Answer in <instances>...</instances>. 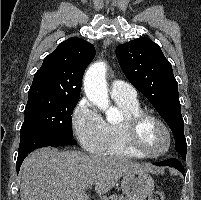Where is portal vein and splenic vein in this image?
<instances>
[{"mask_svg":"<svg viewBox=\"0 0 201 200\" xmlns=\"http://www.w3.org/2000/svg\"><path fill=\"white\" fill-rule=\"evenodd\" d=\"M93 184H94L93 182H90V183L87 185V188H91Z\"/></svg>","mask_w":201,"mask_h":200,"instance_id":"1","label":"portal vein and splenic vein"}]
</instances>
